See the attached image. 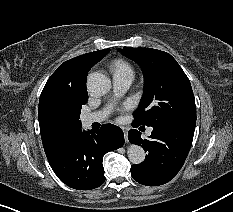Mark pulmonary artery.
I'll return each instance as SVG.
<instances>
[{
    "mask_svg": "<svg viewBox=\"0 0 233 212\" xmlns=\"http://www.w3.org/2000/svg\"><path fill=\"white\" fill-rule=\"evenodd\" d=\"M133 81V75L130 74H118L113 76L114 91L117 96L124 94ZM109 114V109H104L97 112L88 113L82 116L84 125L89 126L95 122L103 121ZM152 129L147 131V134H151Z\"/></svg>",
    "mask_w": 233,
    "mask_h": 212,
    "instance_id": "e3ab8cb5",
    "label": "pulmonary artery"
}]
</instances>
